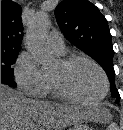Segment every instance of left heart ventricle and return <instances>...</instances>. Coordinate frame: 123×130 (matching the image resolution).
Wrapping results in <instances>:
<instances>
[{
    "label": "left heart ventricle",
    "mask_w": 123,
    "mask_h": 130,
    "mask_svg": "<svg viewBox=\"0 0 123 130\" xmlns=\"http://www.w3.org/2000/svg\"><path fill=\"white\" fill-rule=\"evenodd\" d=\"M51 72L60 75L68 89L77 97L94 99L99 97L104 90L101 74L87 62L77 61L64 69L58 61Z\"/></svg>",
    "instance_id": "1"
}]
</instances>
